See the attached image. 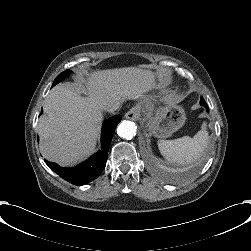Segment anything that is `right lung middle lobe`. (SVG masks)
<instances>
[{"instance_id":"1","label":"right lung middle lobe","mask_w":251,"mask_h":251,"mask_svg":"<svg viewBox=\"0 0 251 251\" xmlns=\"http://www.w3.org/2000/svg\"><path fill=\"white\" fill-rule=\"evenodd\" d=\"M70 73H71V70H66L62 72L61 74H59L54 80L52 87L58 84L60 81L64 80L66 77H68Z\"/></svg>"}]
</instances>
